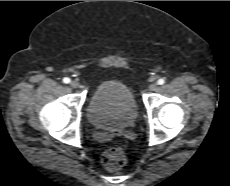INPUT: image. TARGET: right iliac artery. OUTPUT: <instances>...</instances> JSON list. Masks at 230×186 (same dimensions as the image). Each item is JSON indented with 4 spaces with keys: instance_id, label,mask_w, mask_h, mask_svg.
I'll return each instance as SVG.
<instances>
[{
    "instance_id": "right-iliac-artery-1",
    "label": "right iliac artery",
    "mask_w": 230,
    "mask_h": 186,
    "mask_svg": "<svg viewBox=\"0 0 230 186\" xmlns=\"http://www.w3.org/2000/svg\"><path fill=\"white\" fill-rule=\"evenodd\" d=\"M70 81H71V80H70L69 78H67V77H65V78L63 79V82L66 83V84L70 83Z\"/></svg>"
}]
</instances>
